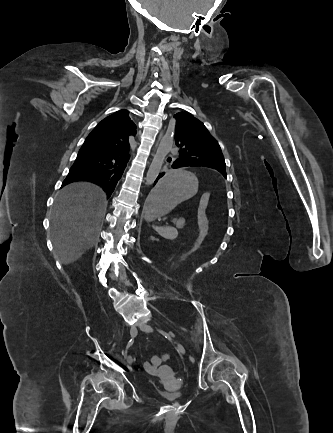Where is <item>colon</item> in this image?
I'll use <instances>...</instances> for the list:
<instances>
[{
	"label": "colon",
	"instance_id": "colon-1",
	"mask_svg": "<svg viewBox=\"0 0 333 433\" xmlns=\"http://www.w3.org/2000/svg\"><path fill=\"white\" fill-rule=\"evenodd\" d=\"M209 200V195L208 194H204L202 196V198L200 199V204H199V212H198V225L200 227L199 229V234L196 240V244L193 246L195 249H197L200 244V242L203 240L205 233L207 231V219H206V215H205V207L208 203ZM194 248H189V252H184L183 257H191V254L194 253ZM191 253V254H189ZM186 258H183V261H186ZM178 265H182V262H178ZM167 359V355L166 354H161V355H152L149 359L148 362V366L150 368H158V363L159 362H164Z\"/></svg>",
	"mask_w": 333,
	"mask_h": 433
}]
</instances>
